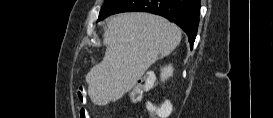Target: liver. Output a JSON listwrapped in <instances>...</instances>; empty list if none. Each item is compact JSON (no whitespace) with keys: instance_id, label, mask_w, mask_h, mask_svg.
I'll return each mask as SVG.
<instances>
[{"instance_id":"6515ba94","label":"liver","mask_w":273,"mask_h":118,"mask_svg":"<svg viewBox=\"0 0 273 118\" xmlns=\"http://www.w3.org/2000/svg\"><path fill=\"white\" fill-rule=\"evenodd\" d=\"M105 56L88 73V94L99 106L129 92L159 57L171 54L181 30L165 18L145 12L113 16L104 32Z\"/></svg>"}]
</instances>
